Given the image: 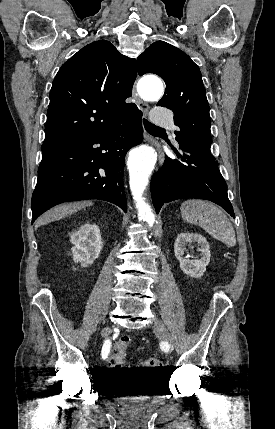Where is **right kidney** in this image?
I'll return each mask as SVG.
<instances>
[{
  "label": "right kidney",
  "mask_w": 275,
  "mask_h": 429,
  "mask_svg": "<svg viewBox=\"0 0 275 429\" xmlns=\"http://www.w3.org/2000/svg\"><path fill=\"white\" fill-rule=\"evenodd\" d=\"M70 242L72 247L73 260L80 262L83 267L91 265L103 247L100 229L96 224H84L81 228L72 233Z\"/></svg>",
  "instance_id": "1"
}]
</instances>
